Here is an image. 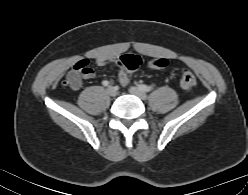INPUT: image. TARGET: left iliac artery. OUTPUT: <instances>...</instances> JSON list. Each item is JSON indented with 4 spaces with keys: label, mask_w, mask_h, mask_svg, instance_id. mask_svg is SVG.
I'll return each mask as SVG.
<instances>
[{
    "label": "left iliac artery",
    "mask_w": 248,
    "mask_h": 195,
    "mask_svg": "<svg viewBox=\"0 0 248 195\" xmlns=\"http://www.w3.org/2000/svg\"><path fill=\"white\" fill-rule=\"evenodd\" d=\"M139 89L142 90L143 92H150L152 90L151 87L145 85V84H141L139 85Z\"/></svg>",
    "instance_id": "44dca946"
}]
</instances>
